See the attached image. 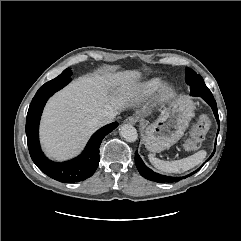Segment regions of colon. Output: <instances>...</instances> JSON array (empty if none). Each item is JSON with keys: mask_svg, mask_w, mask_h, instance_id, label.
I'll return each instance as SVG.
<instances>
[{"mask_svg": "<svg viewBox=\"0 0 241 241\" xmlns=\"http://www.w3.org/2000/svg\"><path fill=\"white\" fill-rule=\"evenodd\" d=\"M210 118L207 115H201L192 128L190 136L185 142V147L188 150H196L201 146L206 133L210 128Z\"/></svg>", "mask_w": 241, "mask_h": 241, "instance_id": "colon-1", "label": "colon"}]
</instances>
